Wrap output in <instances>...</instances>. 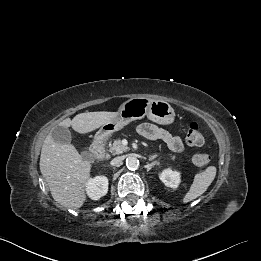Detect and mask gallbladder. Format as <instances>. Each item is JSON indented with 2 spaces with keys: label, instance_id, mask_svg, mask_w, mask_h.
<instances>
[{
  "label": "gallbladder",
  "instance_id": "gallbladder-1",
  "mask_svg": "<svg viewBox=\"0 0 261 261\" xmlns=\"http://www.w3.org/2000/svg\"><path fill=\"white\" fill-rule=\"evenodd\" d=\"M50 133L54 141L57 143L69 144L71 142V133L69 129L65 126L57 125L54 128H52ZM81 155L86 160L90 158V153L88 151H82Z\"/></svg>",
  "mask_w": 261,
  "mask_h": 261
}]
</instances>
